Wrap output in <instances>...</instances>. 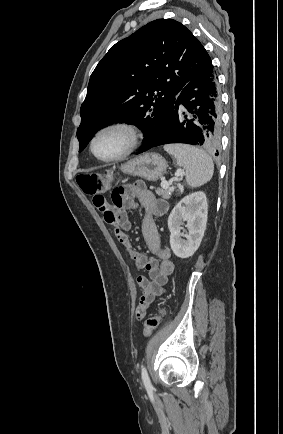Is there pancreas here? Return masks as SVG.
<instances>
[{"label":"pancreas","mask_w":283,"mask_h":434,"mask_svg":"<svg viewBox=\"0 0 283 434\" xmlns=\"http://www.w3.org/2000/svg\"><path fill=\"white\" fill-rule=\"evenodd\" d=\"M174 187H165V188H157L156 193L159 196H162L164 199H169L171 197L172 192L174 191Z\"/></svg>","instance_id":"cf45deb5"}]
</instances>
